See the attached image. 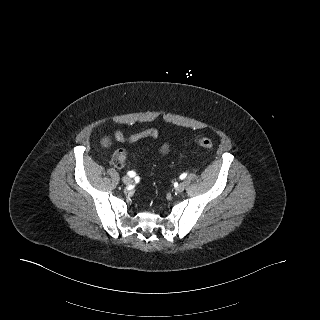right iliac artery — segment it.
<instances>
[{
  "mask_svg": "<svg viewBox=\"0 0 320 320\" xmlns=\"http://www.w3.org/2000/svg\"><path fill=\"white\" fill-rule=\"evenodd\" d=\"M128 175H129L130 177H134V176H135V172L129 171V172H128Z\"/></svg>",
  "mask_w": 320,
  "mask_h": 320,
  "instance_id": "obj_1",
  "label": "right iliac artery"
}]
</instances>
